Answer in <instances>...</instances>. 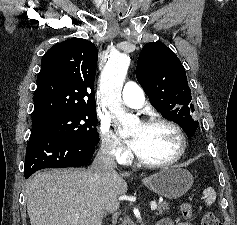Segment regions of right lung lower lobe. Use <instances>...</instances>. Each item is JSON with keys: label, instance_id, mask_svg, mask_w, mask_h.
I'll return each instance as SVG.
<instances>
[{"label": "right lung lower lobe", "instance_id": "obj_1", "mask_svg": "<svg viewBox=\"0 0 237 225\" xmlns=\"http://www.w3.org/2000/svg\"><path fill=\"white\" fill-rule=\"evenodd\" d=\"M96 146L66 136L32 131L26 150L24 176L44 168L78 167L92 158Z\"/></svg>", "mask_w": 237, "mask_h": 225}]
</instances>
